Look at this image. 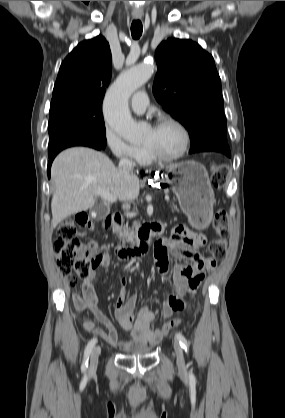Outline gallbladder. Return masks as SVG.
Wrapping results in <instances>:
<instances>
[{"mask_svg":"<svg viewBox=\"0 0 285 418\" xmlns=\"http://www.w3.org/2000/svg\"><path fill=\"white\" fill-rule=\"evenodd\" d=\"M92 212L96 214L95 219H101L107 216V214L109 213V208L103 204H96L95 206H93Z\"/></svg>","mask_w":285,"mask_h":418,"instance_id":"1","label":"gallbladder"}]
</instances>
